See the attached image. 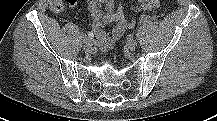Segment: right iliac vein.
I'll return each instance as SVG.
<instances>
[{
    "instance_id": "obj_1",
    "label": "right iliac vein",
    "mask_w": 217,
    "mask_h": 121,
    "mask_svg": "<svg viewBox=\"0 0 217 121\" xmlns=\"http://www.w3.org/2000/svg\"><path fill=\"white\" fill-rule=\"evenodd\" d=\"M83 50L85 51V53L91 54L94 50V47L91 44H86L84 45Z\"/></svg>"
}]
</instances>
